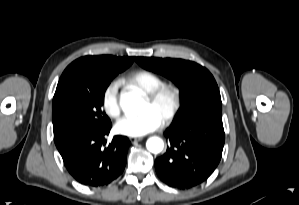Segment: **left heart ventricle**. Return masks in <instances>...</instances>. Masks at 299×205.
<instances>
[{
    "instance_id": "1",
    "label": "left heart ventricle",
    "mask_w": 299,
    "mask_h": 205,
    "mask_svg": "<svg viewBox=\"0 0 299 205\" xmlns=\"http://www.w3.org/2000/svg\"><path fill=\"white\" fill-rule=\"evenodd\" d=\"M152 109L154 110L162 119L163 115L165 114V112L168 109V101L164 100L156 105H152L149 103L148 100H144V104L142 106V111L146 110V109Z\"/></svg>"
}]
</instances>
